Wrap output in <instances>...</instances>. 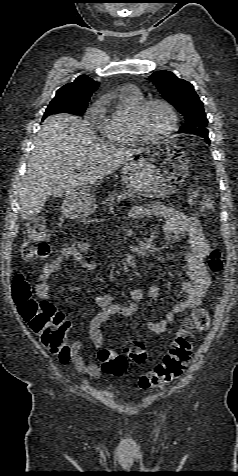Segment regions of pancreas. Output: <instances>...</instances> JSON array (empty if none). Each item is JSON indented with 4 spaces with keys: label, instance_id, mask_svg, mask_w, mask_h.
<instances>
[{
    "label": "pancreas",
    "instance_id": "obj_1",
    "mask_svg": "<svg viewBox=\"0 0 238 476\" xmlns=\"http://www.w3.org/2000/svg\"><path fill=\"white\" fill-rule=\"evenodd\" d=\"M133 197H134V195L131 194V193H124V192H120V193H117V194L113 193L110 196H108L106 198V200L103 202V204H104L103 210L105 211L106 207H108L109 210L111 212H113L115 201H121V200H125L126 198H133Z\"/></svg>",
    "mask_w": 238,
    "mask_h": 476
}]
</instances>
